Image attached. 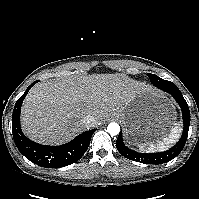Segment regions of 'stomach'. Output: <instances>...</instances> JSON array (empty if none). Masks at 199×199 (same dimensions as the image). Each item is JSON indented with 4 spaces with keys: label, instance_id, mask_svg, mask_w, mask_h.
<instances>
[{
    "label": "stomach",
    "instance_id": "obj_1",
    "mask_svg": "<svg viewBox=\"0 0 199 199\" xmlns=\"http://www.w3.org/2000/svg\"><path fill=\"white\" fill-rule=\"evenodd\" d=\"M113 115L123 123L127 141L135 145L162 136L173 120L168 104L148 91L136 94L126 108L115 111Z\"/></svg>",
    "mask_w": 199,
    "mask_h": 199
}]
</instances>
